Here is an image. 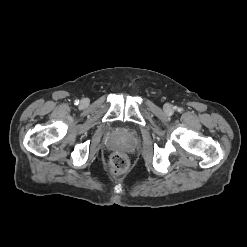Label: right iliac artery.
<instances>
[{"instance_id":"82829eb1","label":"right iliac artery","mask_w":247,"mask_h":247,"mask_svg":"<svg viewBox=\"0 0 247 247\" xmlns=\"http://www.w3.org/2000/svg\"><path fill=\"white\" fill-rule=\"evenodd\" d=\"M79 104V100H75V105H78Z\"/></svg>"}]
</instances>
